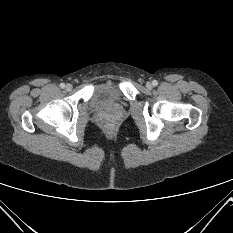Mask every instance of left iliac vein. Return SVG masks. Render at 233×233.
Returning <instances> with one entry per match:
<instances>
[{
  "label": "left iliac vein",
  "mask_w": 233,
  "mask_h": 233,
  "mask_svg": "<svg viewBox=\"0 0 233 233\" xmlns=\"http://www.w3.org/2000/svg\"><path fill=\"white\" fill-rule=\"evenodd\" d=\"M146 87H147V89H151L152 88V84L150 82H147L146 83Z\"/></svg>",
  "instance_id": "obj_1"
}]
</instances>
